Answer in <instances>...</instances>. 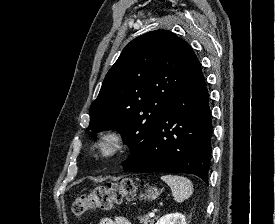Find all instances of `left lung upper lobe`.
I'll list each match as a JSON object with an SVG mask.
<instances>
[{
    "label": "left lung upper lobe",
    "mask_w": 275,
    "mask_h": 224,
    "mask_svg": "<svg viewBox=\"0 0 275 224\" xmlns=\"http://www.w3.org/2000/svg\"><path fill=\"white\" fill-rule=\"evenodd\" d=\"M200 68L192 48L167 30L132 40L108 71L90 107L89 129L117 130L137 157L156 123Z\"/></svg>",
    "instance_id": "left-lung-upper-lobe-1"
}]
</instances>
